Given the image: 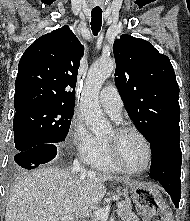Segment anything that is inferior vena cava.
<instances>
[{
	"mask_svg": "<svg viewBox=\"0 0 190 221\" xmlns=\"http://www.w3.org/2000/svg\"><path fill=\"white\" fill-rule=\"evenodd\" d=\"M72 172L80 173L81 175L93 174L91 171L87 172L86 169L82 167L77 160H75L73 163Z\"/></svg>",
	"mask_w": 190,
	"mask_h": 221,
	"instance_id": "obj_1",
	"label": "inferior vena cava"
}]
</instances>
